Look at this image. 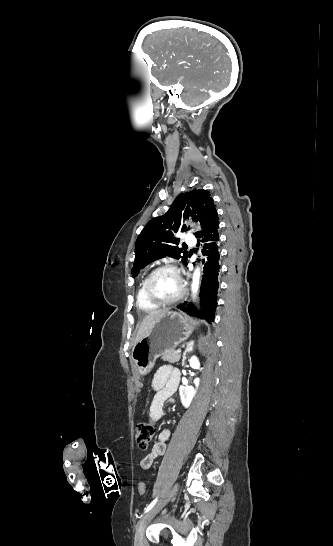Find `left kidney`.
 I'll use <instances>...</instances> for the list:
<instances>
[{"mask_svg":"<svg viewBox=\"0 0 333 546\" xmlns=\"http://www.w3.org/2000/svg\"><path fill=\"white\" fill-rule=\"evenodd\" d=\"M189 364L191 368L201 370L199 360L195 355L191 357V359L189 360ZM199 381V378H196L194 380L196 388L199 386ZM179 393L182 405L187 408L190 406L192 399L195 396L196 390L192 386H180Z\"/></svg>","mask_w":333,"mask_h":546,"instance_id":"obj_1","label":"left kidney"}]
</instances>
